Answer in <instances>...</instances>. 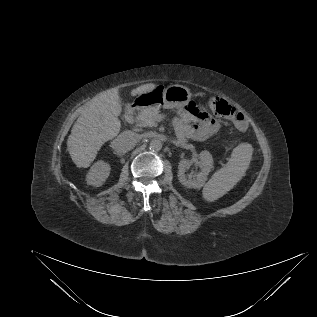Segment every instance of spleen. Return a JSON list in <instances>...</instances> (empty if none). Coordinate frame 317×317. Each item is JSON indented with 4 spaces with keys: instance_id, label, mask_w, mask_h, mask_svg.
I'll return each instance as SVG.
<instances>
[{
    "instance_id": "obj_1",
    "label": "spleen",
    "mask_w": 317,
    "mask_h": 317,
    "mask_svg": "<svg viewBox=\"0 0 317 317\" xmlns=\"http://www.w3.org/2000/svg\"><path fill=\"white\" fill-rule=\"evenodd\" d=\"M252 146L239 144L232 151L227 165L215 172L203 188V198L212 202L222 197L242 178L252 157Z\"/></svg>"
}]
</instances>
